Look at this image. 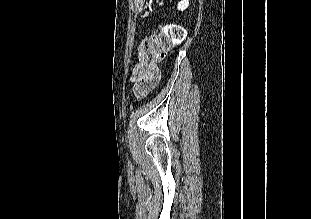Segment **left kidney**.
<instances>
[{"label":"left kidney","mask_w":311,"mask_h":219,"mask_svg":"<svg viewBox=\"0 0 311 219\" xmlns=\"http://www.w3.org/2000/svg\"><path fill=\"white\" fill-rule=\"evenodd\" d=\"M188 6H189V0H181V1L178 3L177 9L180 10V11H183V10H185Z\"/></svg>","instance_id":"5707ae66"}]
</instances>
